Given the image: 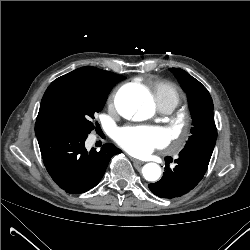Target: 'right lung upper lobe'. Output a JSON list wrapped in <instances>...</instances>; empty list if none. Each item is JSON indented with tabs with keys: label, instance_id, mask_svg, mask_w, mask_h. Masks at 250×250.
<instances>
[{
	"label": "right lung upper lobe",
	"instance_id": "obj_1",
	"mask_svg": "<svg viewBox=\"0 0 250 250\" xmlns=\"http://www.w3.org/2000/svg\"><path fill=\"white\" fill-rule=\"evenodd\" d=\"M118 77H120V75L114 74L109 71L101 70L95 67H82L54 80L47 88L41 101L35 125L36 136L46 132H50L46 125L47 105L49 97L51 96L53 91L57 89L59 86L65 83L77 82V81L89 82V83H102L114 80Z\"/></svg>",
	"mask_w": 250,
	"mask_h": 250
}]
</instances>
